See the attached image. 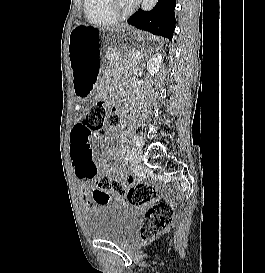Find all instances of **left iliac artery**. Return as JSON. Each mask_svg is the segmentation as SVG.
<instances>
[{"label": "left iliac artery", "mask_w": 265, "mask_h": 273, "mask_svg": "<svg viewBox=\"0 0 265 273\" xmlns=\"http://www.w3.org/2000/svg\"><path fill=\"white\" fill-rule=\"evenodd\" d=\"M133 142L135 143L136 146H140L139 139L136 138L135 136L133 137Z\"/></svg>", "instance_id": "44dca946"}]
</instances>
